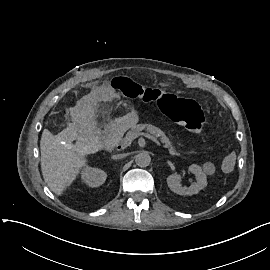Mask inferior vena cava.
Here are the masks:
<instances>
[{"instance_id": "602c4592", "label": "inferior vena cava", "mask_w": 270, "mask_h": 270, "mask_svg": "<svg viewBox=\"0 0 270 270\" xmlns=\"http://www.w3.org/2000/svg\"><path fill=\"white\" fill-rule=\"evenodd\" d=\"M127 154H118V155H113L112 156V159H122L124 157H126Z\"/></svg>"}]
</instances>
